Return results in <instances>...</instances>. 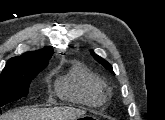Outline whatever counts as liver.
<instances>
[{
    "label": "liver",
    "mask_w": 165,
    "mask_h": 120,
    "mask_svg": "<svg viewBox=\"0 0 165 120\" xmlns=\"http://www.w3.org/2000/svg\"><path fill=\"white\" fill-rule=\"evenodd\" d=\"M84 114L74 108L19 109L0 117V120H72Z\"/></svg>",
    "instance_id": "liver-1"
}]
</instances>
